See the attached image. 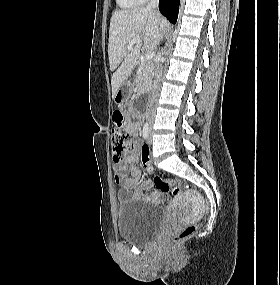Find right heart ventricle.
I'll use <instances>...</instances> for the list:
<instances>
[{"label":"right heart ventricle","mask_w":280,"mask_h":285,"mask_svg":"<svg viewBox=\"0 0 280 285\" xmlns=\"http://www.w3.org/2000/svg\"><path fill=\"white\" fill-rule=\"evenodd\" d=\"M145 0H117V3L120 7L124 9H132L140 6L144 3Z\"/></svg>","instance_id":"obj_1"}]
</instances>
